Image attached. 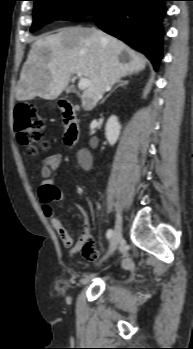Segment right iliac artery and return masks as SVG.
I'll use <instances>...</instances> for the list:
<instances>
[{"mask_svg":"<svg viewBox=\"0 0 193 349\" xmlns=\"http://www.w3.org/2000/svg\"><path fill=\"white\" fill-rule=\"evenodd\" d=\"M112 234H113V230L109 229L106 233L107 238L110 239L112 237Z\"/></svg>","mask_w":193,"mask_h":349,"instance_id":"obj_1","label":"right iliac artery"}]
</instances>
